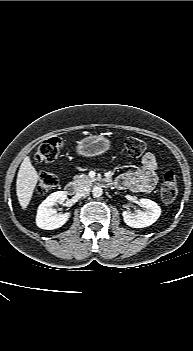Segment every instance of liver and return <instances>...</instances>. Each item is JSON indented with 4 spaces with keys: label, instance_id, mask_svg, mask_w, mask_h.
I'll return each instance as SVG.
<instances>
[{
    "label": "liver",
    "instance_id": "obj_1",
    "mask_svg": "<svg viewBox=\"0 0 193 351\" xmlns=\"http://www.w3.org/2000/svg\"><path fill=\"white\" fill-rule=\"evenodd\" d=\"M38 180L39 175L31 164L30 157L26 156L20 165L16 180V194L22 209L27 208Z\"/></svg>",
    "mask_w": 193,
    "mask_h": 351
}]
</instances>
